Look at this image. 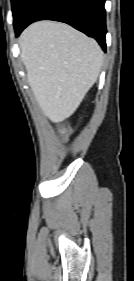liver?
<instances>
[{"mask_svg":"<svg viewBox=\"0 0 134 281\" xmlns=\"http://www.w3.org/2000/svg\"><path fill=\"white\" fill-rule=\"evenodd\" d=\"M28 83L44 115L61 122L72 115L97 81L103 51L71 26L38 21L19 38Z\"/></svg>","mask_w":134,"mask_h":281,"instance_id":"obj_1","label":"liver"}]
</instances>
